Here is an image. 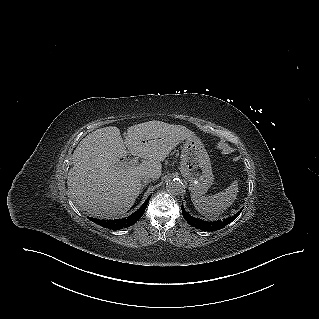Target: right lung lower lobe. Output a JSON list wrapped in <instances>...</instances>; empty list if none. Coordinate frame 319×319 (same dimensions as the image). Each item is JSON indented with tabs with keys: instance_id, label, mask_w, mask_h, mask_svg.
Wrapping results in <instances>:
<instances>
[{
	"instance_id": "98d812e1",
	"label": "right lung lower lobe",
	"mask_w": 319,
	"mask_h": 319,
	"mask_svg": "<svg viewBox=\"0 0 319 319\" xmlns=\"http://www.w3.org/2000/svg\"><path fill=\"white\" fill-rule=\"evenodd\" d=\"M150 197L143 203L139 210L134 212L131 216L122 218V219H115V220H100L90 217L89 219L94 223H97L105 228L118 230L122 228H127L133 224H135L144 214L145 209L149 203Z\"/></svg>"
}]
</instances>
